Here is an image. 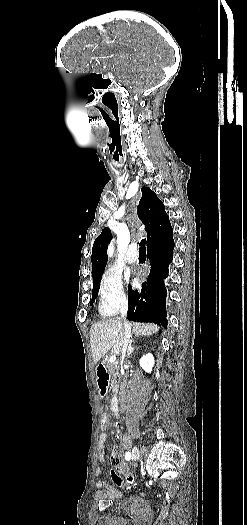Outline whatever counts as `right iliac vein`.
Masks as SVG:
<instances>
[{
  "label": "right iliac vein",
  "instance_id": "obj_1",
  "mask_svg": "<svg viewBox=\"0 0 247 525\" xmlns=\"http://www.w3.org/2000/svg\"><path fill=\"white\" fill-rule=\"evenodd\" d=\"M140 455V452H139V449L137 447H134L133 448V455H132V461H131V465H134L138 459Z\"/></svg>",
  "mask_w": 247,
  "mask_h": 525
}]
</instances>
